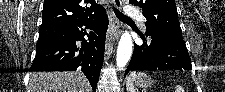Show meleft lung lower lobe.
<instances>
[{"label": "left lung lower lobe", "instance_id": "1", "mask_svg": "<svg viewBox=\"0 0 225 92\" xmlns=\"http://www.w3.org/2000/svg\"><path fill=\"white\" fill-rule=\"evenodd\" d=\"M152 41L142 45H134L131 61L125 71L131 70H191V60L182 38L150 32L145 34ZM143 40L145 37L141 35Z\"/></svg>", "mask_w": 225, "mask_h": 92}]
</instances>
